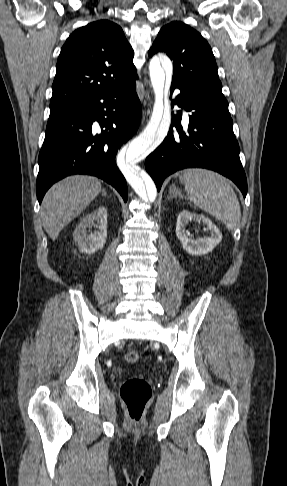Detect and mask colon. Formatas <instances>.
<instances>
[{
    "label": "colon",
    "mask_w": 287,
    "mask_h": 486,
    "mask_svg": "<svg viewBox=\"0 0 287 486\" xmlns=\"http://www.w3.org/2000/svg\"><path fill=\"white\" fill-rule=\"evenodd\" d=\"M125 360L129 364H135L140 360V354L136 350H130L125 354ZM151 395V386L144 378L133 376L124 381L120 396L132 422L138 423L141 420Z\"/></svg>",
    "instance_id": "obj_1"
}]
</instances>
